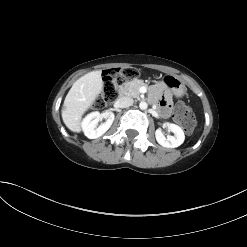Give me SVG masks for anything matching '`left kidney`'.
<instances>
[{"label": "left kidney", "mask_w": 247, "mask_h": 247, "mask_svg": "<svg viewBox=\"0 0 247 247\" xmlns=\"http://www.w3.org/2000/svg\"><path fill=\"white\" fill-rule=\"evenodd\" d=\"M167 127L171 132L174 133V136H168L166 138L162 130L157 129L155 132L157 142L163 147L167 148H175L180 146L185 140V135L181 127L172 123H167Z\"/></svg>", "instance_id": "left-kidney-1"}]
</instances>
